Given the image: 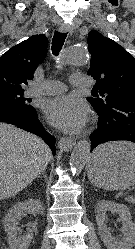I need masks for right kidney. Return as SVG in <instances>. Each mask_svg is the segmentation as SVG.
<instances>
[{
  "mask_svg": "<svg viewBox=\"0 0 135 249\" xmlns=\"http://www.w3.org/2000/svg\"><path fill=\"white\" fill-rule=\"evenodd\" d=\"M27 211H31L34 214H43L44 208L39 200L29 199L25 202L15 204L3 220L10 249H28L31 243L33 238L31 231L23 236L18 235V220Z\"/></svg>",
  "mask_w": 135,
  "mask_h": 249,
  "instance_id": "obj_1",
  "label": "right kidney"
}]
</instances>
